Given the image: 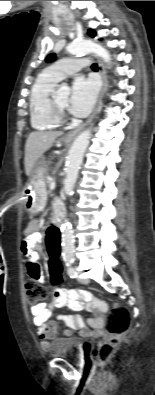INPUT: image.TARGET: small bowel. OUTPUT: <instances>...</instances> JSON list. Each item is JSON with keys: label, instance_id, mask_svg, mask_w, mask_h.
<instances>
[{"label": "small bowel", "instance_id": "small-bowel-1", "mask_svg": "<svg viewBox=\"0 0 155 395\" xmlns=\"http://www.w3.org/2000/svg\"><path fill=\"white\" fill-rule=\"evenodd\" d=\"M55 208H60L59 204H56ZM38 239V232L33 225L29 228L28 238L21 243V251L27 260L28 275L37 279L39 282H43L44 277L38 264L40 258L37 245ZM110 305V300H105L103 296H100L98 300H96L84 290L66 289L63 287L56 288L53 293V298L48 305L45 303H38L33 305L30 309L33 315V323L36 327V334L42 349H49L51 340L56 336L57 323L56 321H49L51 313L56 308L68 306L76 311L87 309L88 311H98L99 313L88 319V324L92 331L86 328L84 320L80 315L58 314L56 319L66 325L67 329L64 331V336L69 338L72 336V330L79 331L82 336H88L90 334L95 336L100 335L104 325L103 318L100 315H108Z\"/></svg>", "mask_w": 155, "mask_h": 395}]
</instances>
